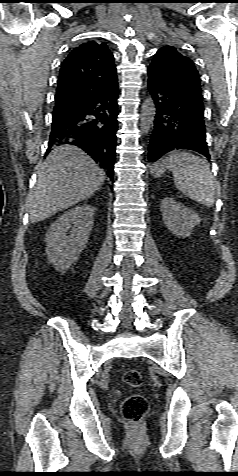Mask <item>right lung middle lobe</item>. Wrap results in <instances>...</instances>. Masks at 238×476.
Listing matches in <instances>:
<instances>
[{"mask_svg":"<svg viewBox=\"0 0 238 476\" xmlns=\"http://www.w3.org/2000/svg\"><path fill=\"white\" fill-rule=\"evenodd\" d=\"M72 111H73V109L54 111L53 112V119L56 120V119H59V118H64V117L68 116Z\"/></svg>","mask_w":238,"mask_h":476,"instance_id":"obj_1","label":"right lung middle lobe"}]
</instances>
